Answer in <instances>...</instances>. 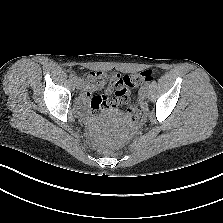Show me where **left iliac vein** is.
I'll return each instance as SVG.
<instances>
[{"label": "left iliac vein", "mask_w": 223, "mask_h": 223, "mask_svg": "<svg viewBox=\"0 0 223 223\" xmlns=\"http://www.w3.org/2000/svg\"><path fill=\"white\" fill-rule=\"evenodd\" d=\"M146 97H147V89H146V87H143L140 91V98L142 100H144V99H146Z\"/></svg>", "instance_id": "1"}]
</instances>
